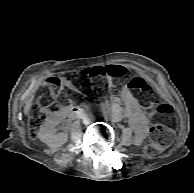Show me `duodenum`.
Here are the masks:
<instances>
[{"label": "duodenum", "mask_w": 194, "mask_h": 193, "mask_svg": "<svg viewBox=\"0 0 194 193\" xmlns=\"http://www.w3.org/2000/svg\"><path fill=\"white\" fill-rule=\"evenodd\" d=\"M64 113L68 117H78L82 114V111L78 107L69 106L64 109Z\"/></svg>", "instance_id": "duodenum-1"}]
</instances>
